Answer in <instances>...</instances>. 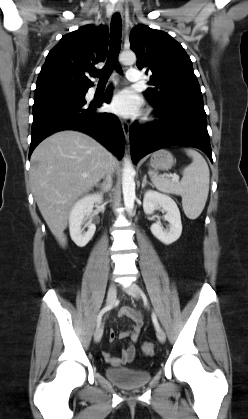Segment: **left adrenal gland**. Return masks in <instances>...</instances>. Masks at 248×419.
<instances>
[{"label":"left adrenal gland","instance_id":"left-adrenal-gland-1","mask_svg":"<svg viewBox=\"0 0 248 419\" xmlns=\"http://www.w3.org/2000/svg\"><path fill=\"white\" fill-rule=\"evenodd\" d=\"M146 184H150V183L147 181V176L145 175L142 181V189L146 186Z\"/></svg>","mask_w":248,"mask_h":419}]
</instances>
